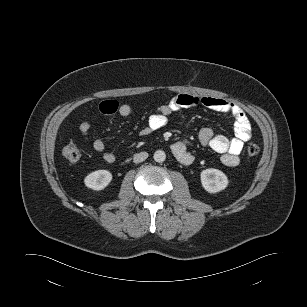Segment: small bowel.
<instances>
[{"mask_svg": "<svg viewBox=\"0 0 307 307\" xmlns=\"http://www.w3.org/2000/svg\"><path fill=\"white\" fill-rule=\"evenodd\" d=\"M197 105H202L216 112L230 114L234 118L233 138L215 134L211 128L205 127L200 130L198 139L202 146L210 147L221 154V161L224 165L228 167L237 166L240 161L239 155L244 143L251 138L252 130L243 109L228 100L209 96L199 97L191 94H179L167 104L159 106L156 112L149 116L147 126L142 130V134L146 135L164 127L172 113ZM99 109L103 114L117 113L122 117H128L133 113L131 105L119 104L115 100L101 102ZM90 129L91 123L89 120L82 121L79 125V132L85 140L88 139ZM92 146L95 151L102 153V158L105 162H115L116 156L111 152H105V144L101 139H95L92 142ZM171 150L177 160L184 165H189L194 160V156L190 151V143L186 140L173 143Z\"/></svg>", "mask_w": 307, "mask_h": 307, "instance_id": "c3829d8e", "label": "small bowel"}]
</instances>
